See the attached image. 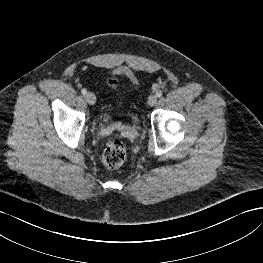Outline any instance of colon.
Segmentation results:
<instances>
[{
	"label": "colon",
	"mask_w": 263,
	"mask_h": 263,
	"mask_svg": "<svg viewBox=\"0 0 263 263\" xmlns=\"http://www.w3.org/2000/svg\"><path fill=\"white\" fill-rule=\"evenodd\" d=\"M108 86L115 90L118 82L115 79H108ZM126 159V147L123 142L115 140L110 142L105 148L102 156V160L105 166L108 168L120 167Z\"/></svg>",
	"instance_id": "1"
}]
</instances>
